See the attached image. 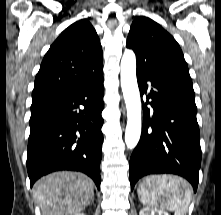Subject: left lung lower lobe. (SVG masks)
<instances>
[{
    "label": "left lung lower lobe",
    "mask_w": 221,
    "mask_h": 215,
    "mask_svg": "<svg viewBox=\"0 0 221 215\" xmlns=\"http://www.w3.org/2000/svg\"><path fill=\"white\" fill-rule=\"evenodd\" d=\"M137 80L142 95L151 83L146 104L150 103L153 111L143 105L142 133L130 158L131 190L145 175L173 173L186 178L196 192L201 148L193 88L138 70Z\"/></svg>",
    "instance_id": "obj_1"
}]
</instances>
